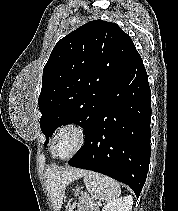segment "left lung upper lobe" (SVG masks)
<instances>
[{
  "label": "left lung upper lobe",
  "instance_id": "left-lung-upper-lobe-1",
  "mask_svg": "<svg viewBox=\"0 0 178 211\" xmlns=\"http://www.w3.org/2000/svg\"><path fill=\"white\" fill-rule=\"evenodd\" d=\"M136 48L116 24L94 20L59 40L44 67L38 99L49 142L59 126L75 123L87 136L108 91Z\"/></svg>",
  "mask_w": 178,
  "mask_h": 211
}]
</instances>
